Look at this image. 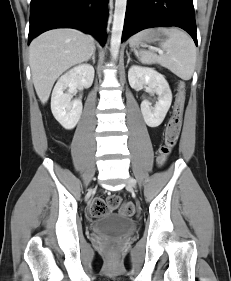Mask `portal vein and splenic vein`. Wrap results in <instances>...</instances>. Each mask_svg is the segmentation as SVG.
I'll return each instance as SVG.
<instances>
[{
	"instance_id": "portal-vein-and-splenic-vein-1",
	"label": "portal vein and splenic vein",
	"mask_w": 231,
	"mask_h": 281,
	"mask_svg": "<svg viewBox=\"0 0 231 281\" xmlns=\"http://www.w3.org/2000/svg\"><path fill=\"white\" fill-rule=\"evenodd\" d=\"M158 52H159L160 54H163V51H162V50H159Z\"/></svg>"
}]
</instances>
